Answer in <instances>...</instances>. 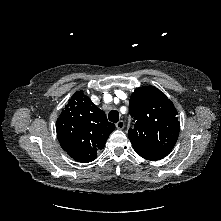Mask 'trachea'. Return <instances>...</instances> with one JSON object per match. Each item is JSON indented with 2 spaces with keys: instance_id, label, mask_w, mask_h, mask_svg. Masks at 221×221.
<instances>
[{
  "instance_id": "3493384b",
  "label": "trachea",
  "mask_w": 221,
  "mask_h": 221,
  "mask_svg": "<svg viewBox=\"0 0 221 221\" xmlns=\"http://www.w3.org/2000/svg\"><path fill=\"white\" fill-rule=\"evenodd\" d=\"M108 118H109V121H111V122H114V123L118 122L119 112L116 111V110L110 111L109 114H108Z\"/></svg>"
}]
</instances>
